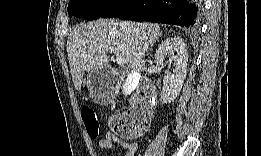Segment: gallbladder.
Listing matches in <instances>:
<instances>
[{
	"instance_id": "gallbladder-1",
	"label": "gallbladder",
	"mask_w": 261,
	"mask_h": 156,
	"mask_svg": "<svg viewBox=\"0 0 261 156\" xmlns=\"http://www.w3.org/2000/svg\"><path fill=\"white\" fill-rule=\"evenodd\" d=\"M139 73L137 72H131L129 73V76H126V85L123 87L122 92H128V93H122L124 96H129L134 92L135 89H137V85L139 82H141Z\"/></svg>"
}]
</instances>
